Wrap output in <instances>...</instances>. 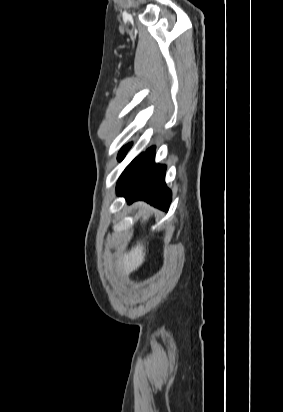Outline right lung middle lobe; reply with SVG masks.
<instances>
[{
  "label": "right lung middle lobe",
  "instance_id": "1",
  "mask_svg": "<svg viewBox=\"0 0 283 412\" xmlns=\"http://www.w3.org/2000/svg\"><path fill=\"white\" fill-rule=\"evenodd\" d=\"M131 145H132V143L124 146V147L120 150V152H119V154H118V157H117L118 161H122V160L125 158V156H126L128 150L130 149Z\"/></svg>",
  "mask_w": 283,
  "mask_h": 412
}]
</instances>
